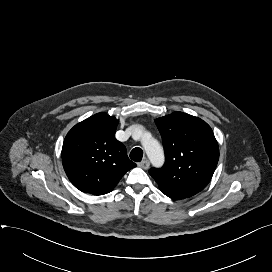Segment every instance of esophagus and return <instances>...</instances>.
I'll return each instance as SVG.
<instances>
[{"label": "esophagus", "mask_w": 272, "mask_h": 272, "mask_svg": "<svg viewBox=\"0 0 272 272\" xmlns=\"http://www.w3.org/2000/svg\"><path fill=\"white\" fill-rule=\"evenodd\" d=\"M138 166L141 167L142 169H148L150 166V163L147 159H144L143 161L138 163Z\"/></svg>", "instance_id": "1"}]
</instances>
